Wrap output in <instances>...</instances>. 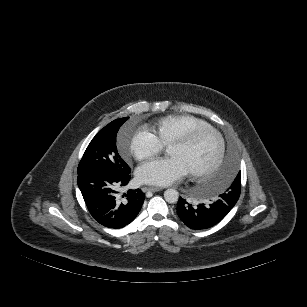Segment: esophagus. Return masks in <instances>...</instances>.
<instances>
[{
  "instance_id": "34e87169",
  "label": "esophagus",
  "mask_w": 307,
  "mask_h": 307,
  "mask_svg": "<svg viewBox=\"0 0 307 307\" xmlns=\"http://www.w3.org/2000/svg\"><path fill=\"white\" fill-rule=\"evenodd\" d=\"M143 190H144V191L157 192V191H161L162 188L149 186V187H144Z\"/></svg>"
}]
</instances>
